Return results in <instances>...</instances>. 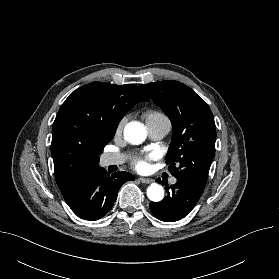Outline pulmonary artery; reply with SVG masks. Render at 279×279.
Returning a JSON list of instances; mask_svg holds the SVG:
<instances>
[{"label": "pulmonary artery", "instance_id": "1", "mask_svg": "<svg viewBox=\"0 0 279 279\" xmlns=\"http://www.w3.org/2000/svg\"><path fill=\"white\" fill-rule=\"evenodd\" d=\"M147 130L150 138L154 140H160L163 137H165L168 132L170 131L171 124L168 119L162 120L155 123L146 124ZM125 160V156L123 154L119 153H111V154H105L102 156L101 164L103 166H110V165H118L123 163ZM176 178H171L170 183L175 184Z\"/></svg>", "mask_w": 279, "mask_h": 279}]
</instances>
